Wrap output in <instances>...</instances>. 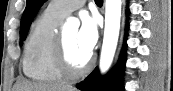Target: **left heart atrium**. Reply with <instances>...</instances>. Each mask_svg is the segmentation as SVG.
<instances>
[{"instance_id":"1","label":"left heart atrium","mask_w":173,"mask_h":91,"mask_svg":"<svg viewBox=\"0 0 173 91\" xmlns=\"http://www.w3.org/2000/svg\"><path fill=\"white\" fill-rule=\"evenodd\" d=\"M98 40V29L96 19L88 14L81 18V26L77 33V44L79 49L90 56Z\"/></svg>"}]
</instances>
